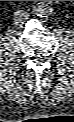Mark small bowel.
<instances>
[{"mask_svg":"<svg viewBox=\"0 0 74 122\" xmlns=\"http://www.w3.org/2000/svg\"><path fill=\"white\" fill-rule=\"evenodd\" d=\"M45 8H49L48 5H44Z\"/></svg>","mask_w":74,"mask_h":122,"instance_id":"c3829d8e","label":"small bowel"}]
</instances>
